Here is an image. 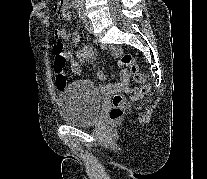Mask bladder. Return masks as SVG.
<instances>
[{
  "mask_svg": "<svg viewBox=\"0 0 207 179\" xmlns=\"http://www.w3.org/2000/svg\"><path fill=\"white\" fill-rule=\"evenodd\" d=\"M61 119L69 125L86 126L100 115L102 99L95 86L77 81L64 88L56 97Z\"/></svg>",
  "mask_w": 207,
  "mask_h": 179,
  "instance_id": "1",
  "label": "bladder"
}]
</instances>
